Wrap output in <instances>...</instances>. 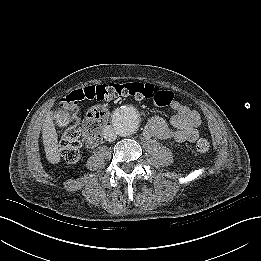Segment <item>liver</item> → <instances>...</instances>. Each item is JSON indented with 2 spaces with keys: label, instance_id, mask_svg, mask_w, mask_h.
I'll return each instance as SVG.
<instances>
[{
  "label": "liver",
  "instance_id": "obj_1",
  "mask_svg": "<svg viewBox=\"0 0 261 261\" xmlns=\"http://www.w3.org/2000/svg\"><path fill=\"white\" fill-rule=\"evenodd\" d=\"M54 119L57 120V124L59 126H66L69 120V116L64 112L53 114L50 111L47 113L43 123L42 138L46 159L52 164H57L60 162V150L58 145V135L53 123Z\"/></svg>",
  "mask_w": 261,
  "mask_h": 261
}]
</instances>
